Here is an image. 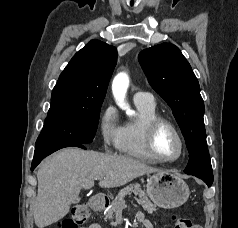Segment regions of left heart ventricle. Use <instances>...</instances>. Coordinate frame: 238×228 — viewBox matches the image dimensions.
<instances>
[{
    "mask_svg": "<svg viewBox=\"0 0 238 228\" xmlns=\"http://www.w3.org/2000/svg\"><path fill=\"white\" fill-rule=\"evenodd\" d=\"M155 147L158 154L163 158H174L179 153V144L171 130L166 127L158 133Z\"/></svg>",
    "mask_w": 238,
    "mask_h": 228,
    "instance_id": "obj_1",
    "label": "left heart ventricle"
}]
</instances>
